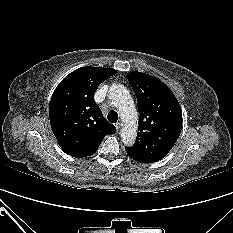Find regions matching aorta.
<instances>
[{"label":"aorta","instance_id":"762f6f07","mask_svg":"<svg viewBox=\"0 0 233 233\" xmlns=\"http://www.w3.org/2000/svg\"><path fill=\"white\" fill-rule=\"evenodd\" d=\"M109 98L122 118L121 138L124 144L133 145L137 135L138 113L135 108L133 99L125 86L113 84L109 88Z\"/></svg>","mask_w":233,"mask_h":233}]
</instances>
